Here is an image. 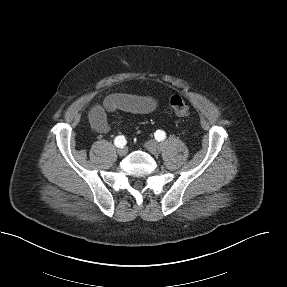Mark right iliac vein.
<instances>
[{
    "instance_id": "1",
    "label": "right iliac vein",
    "mask_w": 287,
    "mask_h": 287,
    "mask_svg": "<svg viewBox=\"0 0 287 287\" xmlns=\"http://www.w3.org/2000/svg\"><path fill=\"white\" fill-rule=\"evenodd\" d=\"M119 156H125L128 153V149L126 147L119 148L117 150Z\"/></svg>"
}]
</instances>
